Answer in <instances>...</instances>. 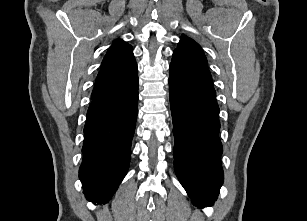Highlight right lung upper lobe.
<instances>
[{"label": "right lung upper lobe", "instance_id": "right-lung-upper-lobe-1", "mask_svg": "<svg viewBox=\"0 0 307 221\" xmlns=\"http://www.w3.org/2000/svg\"><path fill=\"white\" fill-rule=\"evenodd\" d=\"M132 50L133 48L121 39L110 46L102 61L91 97L120 90L138 77Z\"/></svg>", "mask_w": 307, "mask_h": 221}]
</instances>
